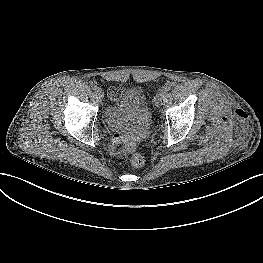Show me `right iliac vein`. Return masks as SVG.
Wrapping results in <instances>:
<instances>
[{"mask_svg":"<svg viewBox=\"0 0 263 263\" xmlns=\"http://www.w3.org/2000/svg\"><path fill=\"white\" fill-rule=\"evenodd\" d=\"M96 94L97 96L101 99L103 97V91L102 89L100 88L99 90H96Z\"/></svg>","mask_w":263,"mask_h":263,"instance_id":"1","label":"right iliac vein"}]
</instances>
